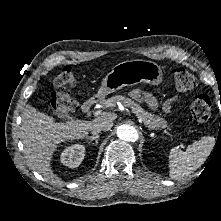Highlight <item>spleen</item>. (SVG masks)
Masks as SVG:
<instances>
[{
  "mask_svg": "<svg viewBox=\"0 0 221 221\" xmlns=\"http://www.w3.org/2000/svg\"><path fill=\"white\" fill-rule=\"evenodd\" d=\"M215 144L213 136H204L187 146L186 151L172 148L169 152V176L181 179L197 170L206 161Z\"/></svg>",
  "mask_w": 221,
  "mask_h": 221,
  "instance_id": "obj_1",
  "label": "spleen"
}]
</instances>
